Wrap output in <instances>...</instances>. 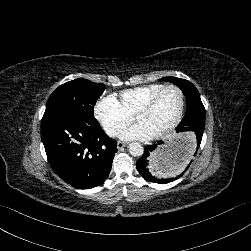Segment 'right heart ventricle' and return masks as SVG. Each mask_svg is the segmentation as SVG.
<instances>
[{
	"label": "right heart ventricle",
	"mask_w": 251,
	"mask_h": 251,
	"mask_svg": "<svg viewBox=\"0 0 251 251\" xmlns=\"http://www.w3.org/2000/svg\"><path fill=\"white\" fill-rule=\"evenodd\" d=\"M163 87H165L164 84L152 83L126 89L121 93L122 104L130 113L135 112Z\"/></svg>",
	"instance_id": "e07e8e85"
}]
</instances>
